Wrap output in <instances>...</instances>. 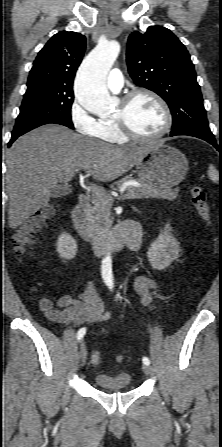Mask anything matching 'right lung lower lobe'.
<instances>
[{
  "label": "right lung lower lobe",
  "instance_id": "1",
  "mask_svg": "<svg viewBox=\"0 0 222 447\" xmlns=\"http://www.w3.org/2000/svg\"><path fill=\"white\" fill-rule=\"evenodd\" d=\"M18 137H12L10 142L8 143V147L11 146V144L17 139Z\"/></svg>",
  "mask_w": 222,
  "mask_h": 447
}]
</instances>
